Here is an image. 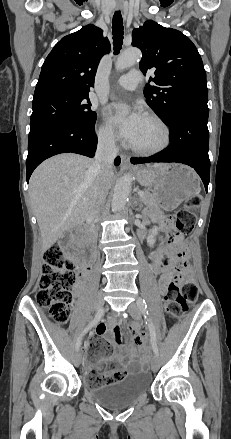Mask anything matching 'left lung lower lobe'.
I'll use <instances>...</instances> for the list:
<instances>
[{"label": "left lung lower lobe", "instance_id": "left-lung-lower-lobe-1", "mask_svg": "<svg viewBox=\"0 0 231 439\" xmlns=\"http://www.w3.org/2000/svg\"><path fill=\"white\" fill-rule=\"evenodd\" d=\"M208 106H186L175 111L168 122L170 145L148 158H132L133 164L177 162L191 166L207 191L210 175Z\"/></svg>", "mask_w": 231, "mask_h": 439}]
</instances>
